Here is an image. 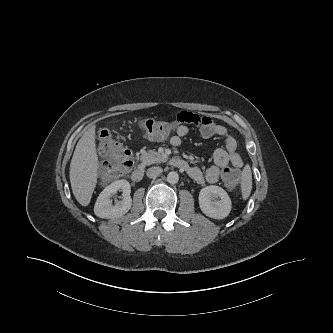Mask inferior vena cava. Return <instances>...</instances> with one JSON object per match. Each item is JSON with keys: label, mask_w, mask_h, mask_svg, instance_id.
<instances>
[{"label": "inferior vena cava", "mask_w": 333, "mask_h": 333, "mask_svg": "<svg viewBox=\"0 0 333 333\" xmlns=\"http://www.w3.org/2000/svg\"><path fill=\"white\" fill-rule=\"evenodd\" d=\"M162 168L161 167H151L147 170V176L149 178H156L157 176H159L162 173Z\"/></svg>", "instance_id": "obj_1"}]
</instances>
